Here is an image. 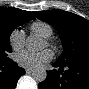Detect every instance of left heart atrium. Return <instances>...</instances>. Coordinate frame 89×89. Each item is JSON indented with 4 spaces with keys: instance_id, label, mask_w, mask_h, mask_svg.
Wrapping results in <instances>:
<instances>
[{
    "instance_id": "obj_1",
    "label": "left heart atrium",
    "mask_w": 89,
    "mask_h": 89,
    "mask_svg": "<svg viewBox=\"0 0 89 89\" xmlns=\"http://www.w3.org/2000/svg\"><path fill=\"white\" fill-rule=\"evenodd\" d=\"M52 58V52L45 49L38 53L29 51H21L15 55V61L22 67L25 68H37L41 64L50 61Z\"/></svg>"
}]
</instances>
